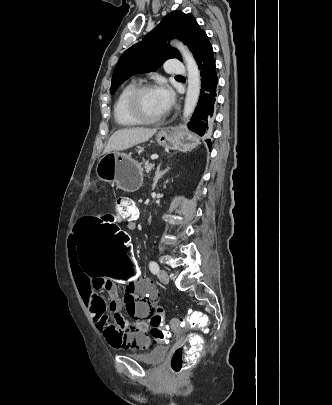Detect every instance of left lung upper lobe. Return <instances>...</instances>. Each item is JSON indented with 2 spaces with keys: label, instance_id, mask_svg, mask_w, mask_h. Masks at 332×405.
I'll return each mask as SVG.
<instances>
[{
  "label": "left lung upper lobe",
  "instance_id": "obj_1",
  "mask_svg": "<svg viewBox=\"0 0 332 405\" xmlns=\"http://www.w3.org/2000/svg\"><path fill=\"white\" fill-rule=\"evenodd\" d=\"M172 38L187 44L195 60L210 44L206 33L192 15L181 11L169 13L142 41L122 54L113 72L111 94L134 74L155 71L170 58L182 60L179 52L167 44V40Z\"/></svg>",
  "mask_w": 332,
  "mask_h": 405
}]
</instances>
